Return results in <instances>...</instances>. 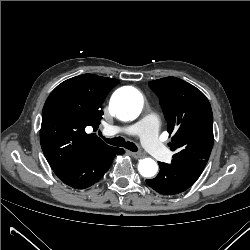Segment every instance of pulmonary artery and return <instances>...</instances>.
I'll return each instance as SVG.
<instances>
[{
  "label": "pulmonary artery",
  "instance_id": "e3ab8cb5",
  "mask_svg": "<svg viewBox=\"0 0 250 250\" xmlns=\"http://www.w3.org/2000/svg\"><path fill=\"white\" fill-rule=\"evenodd\" d=\"M159 125L152 117H147L136 124L126 128H112L113 133H126L131 136L140 137L143 147L157 159H167L168 149L158 138Z\"/></svg>",
  "mask_w": 250,
  "mask_h": 250
}]
</instances>
